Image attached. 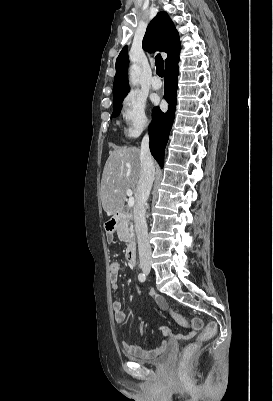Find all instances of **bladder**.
<instances>
[{
    "label": "bladder",
    "instance_id": "bladder-1",
    "mask_svg": "<svg viewBox=\"0 0 273 401\" xmlns=\"http://www.w3.org/2000/svg\"><path fill=\"white\" fill-rule=\"evenodd\" d=\"M130 358L133 361H136V362L144 364V365H149V366H154V367H163L170 362V360L172 358V352L170 350H167L163 354H161L157 359L152 360V361L140 360V359H137L136 357H130Z\"/></svg>",
    "mask_w": 273,
    "mask_h": 401
}]
</instances>
